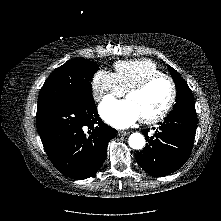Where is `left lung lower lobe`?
Instances as JSON below:
<instances>
[{
  "instance_id": "obj_1",
  "label": "left lung lower lobe",
  "mask_w": 221,
  "mask_h": 221,
  "mask_svg": "<svg viewBox=\"0 0 221 221\" xmlns=\"http://www.w3.org/2000/svg\"><path fill=\"white\" fill-rule=\"evenodd\" d=\"M159 124L151 137L148 129L142 131L147 145L136 156L145 171L158 177L175 172L189 158L197 128L196 112H170Z\"/></svg>"
}]
</instances>
